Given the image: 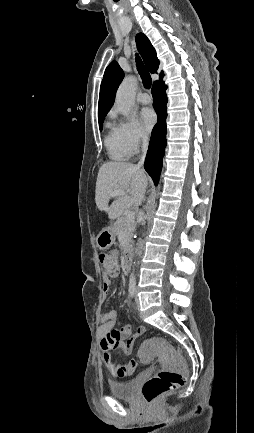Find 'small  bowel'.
Instances as JSON below:
<instances>
[{"label": "small bowel", "instance_id": "obj_1", "mask_svg": "<svg viewBox=\"0 0 254 433\" xmlns=\"http://www.w3.org/2000/svg\"><path fill=\"white\" fill-rule=\"evenodd\" d=\"M111 281L105 278L103 291L107 294ZM119 318L118 310H111L102 316L100 333L102 335L101 348L103 350V361L114 378H125L133 374L137 362L130 360L125 363H116L112 358V352L119 350L123 355L131 354L135 341L140 337L138 329L132 333L129 327H122L118 330L114 326Z\"/></svg>", "mask_w": 254, "mask_h": 433}]
</instances>
